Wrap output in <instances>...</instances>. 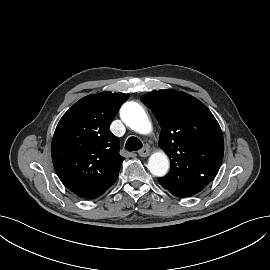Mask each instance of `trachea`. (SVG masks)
Masks as SVG:
<instances>
[{
  "mask_svg": "<svg viewBox=\"0 0 270 270\" xmlns=\"http://www.w3.org/2000/svg\"><path fill=\"white\" fill-rule=\"evenodd\" d=\"M143 147L142 142L136 137H130L125 145L127 151H137Z\"/></svg>",
  "mask_w": 270,
  "mask_h": 270,
  "instance_id": "1",
  "label": "trachea"
}]
</instances>
